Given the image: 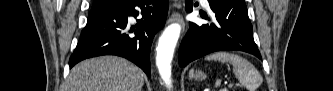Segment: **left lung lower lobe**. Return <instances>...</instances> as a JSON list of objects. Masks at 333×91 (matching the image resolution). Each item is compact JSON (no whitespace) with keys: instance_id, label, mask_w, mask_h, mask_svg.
Here are the masks:
<instances>
[{"instance_id":"left-lung-lower-lobe-1","label":"left lung lower lobe","mask_w":333,"mask_h":91,"mask_svg":"<svg viewBox=\"0 0 333 91\" xmlns=\"http://www.w3.org/2000/svg\"><path fill=\"white\" fill-rule=\"evenodd\" d=\"M215 13L216 23L198 26L190 22V28L179 48V65L216 51H244L261 59L254 42L252 25L244 0H208ZM193 0H186L187 12L192 11ZM206 18V17H204Z\"/></svg>"}]
</instances>
